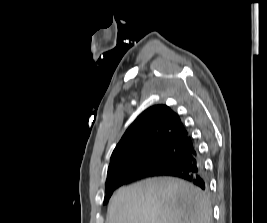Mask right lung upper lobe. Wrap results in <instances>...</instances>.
<instances>
[{"label": "right lung upper lobe", "instance_id": "1", "mask_svg": "<svg viewBox=\"0 0 267 223\" xmlns=\"http://www.w3.org/2000/svg\"><path fill=\"white\" fill-rule=\"evenodd\" d=\"M193 143L178 114L166 105L152 106L136 118L117 144L107 179L127 172L126 165L154 155L160 147L176 145L187 150Z\"/></svg>", "mask_w": 267, "mask_h": 223}]
</instances>
